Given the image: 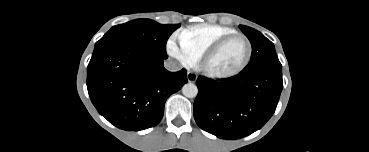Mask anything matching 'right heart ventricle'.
I'll use <instances>...</instances> for the list:
<instances>
[{
    "instance_id": "obj_1",
    "label": "right heart ventricle",
    "mask_w": 369,
    "mask_h": 152,
    "mask_svg": "<svg viewBox=\"0 0 369 152\" xmlns=\"http://www.w3.org/2000/svg\"><path fill=\"white\" fill-rule=\"evenodd\" d=\"M233 33L236 31L230 27L198 24L182 29L178 33V40L191 53L196 62L213 43Z\"/></svg>"
}]
</instances>
